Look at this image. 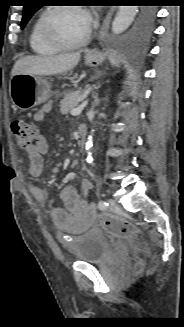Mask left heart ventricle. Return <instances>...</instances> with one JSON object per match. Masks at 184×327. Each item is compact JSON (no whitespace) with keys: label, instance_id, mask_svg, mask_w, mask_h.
Masks as SVG:
<instances>
[{"label":"left heart ventricle","instance_id":"obj_1","mask_svg":"<svg viewBox=\"0 0 184 327\" xmlns=\"http://www.w3.org/2000/svg\"><path fill=\"white\" fill-rule=\"evenodd\" d=\"M53 24L56 32L69 42L80 40L89 28L84 12L78 9L58 11L54 15Z\"/></svg>","mask_w":184,"mask_h":327}]
</instances>
